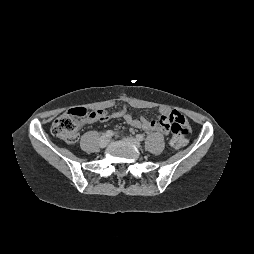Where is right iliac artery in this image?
<instances>
[{"label":"right iliac artery","instance_id":"1","mask_svg":"<svg viewBox=\"0 0 254 254\" xmlns=\"http://www.w3.org/2000/svg\"><path fill=\"white\" fill-rule=\"evenodd\" d=\"M106 137H112L114 135V132L112 130H108L105 133Z\"/></svg>","mask_w":254,"mask_h":254}]
</instances>
